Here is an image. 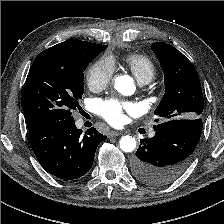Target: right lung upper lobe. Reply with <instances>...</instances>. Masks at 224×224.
Instances as JSON below:
<instances>
[{"label":"right lung upper lobe","instance_id":"cb5924a9","mask_svg":"<svg viewBox=\"0 0 224 224\" xmlns=\"http://www.w3.org/2000/svg\"><path fill=\"white\" fill-rule=\"evenodd\" d=\"M97 44L81 40H67L42 51L37 57H76L88 54Z\"/></svg>","mask_w":224,"mask_h":224}]
</instances>
